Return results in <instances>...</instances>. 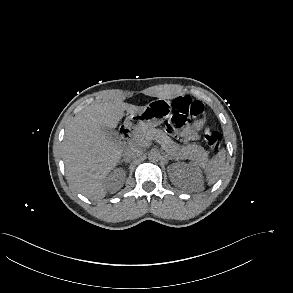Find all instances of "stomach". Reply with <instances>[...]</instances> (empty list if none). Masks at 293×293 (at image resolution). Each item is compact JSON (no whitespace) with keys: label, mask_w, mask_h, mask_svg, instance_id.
<instances>
[{"label":"stomach","mask_w":293,"mask_h":293,"mask_svg":"<svg viewBox=\"0 0 293 293\" xmlns=\"http://www.w3.org/2000/svg\"><path fill=\"white\" fill-rule=\"evenodd\" d=\"M170 111L169 100L156 99L147 104L140 113L130 116L127 123L136 127H156L165 121Z\"/></svg>","instance_id":"stomach-1"}]
</instances>
